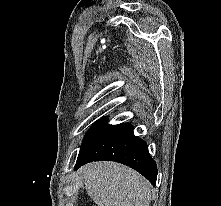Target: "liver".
Returning a JSON list of instances; mask_svg holds the SVG:
<instances>
[{
  "mask_svg": "<svg viewBox=\"0 0 221 206\" xmlns=\"http://www.w3.org/2000/svg\"><path fill=\"white\" fill-rule=\"evenodd\" d=\"M86 191L97 206H150L151 185L135 170L115 162L82 168Z\"/></svg>",
  "mask_w": 221,
  "mask_h": 206,
  "instance_id": "liver-1",
  "label": "liver"
}]
</instances>
